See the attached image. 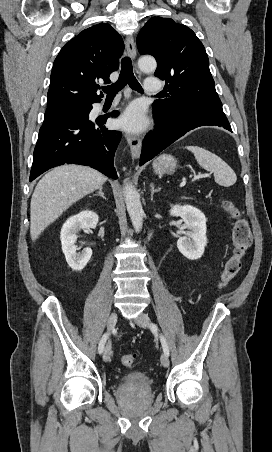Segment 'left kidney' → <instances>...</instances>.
I'll use <instances>...</instances> for the list:
<instances>
[{"instance_id":"1","label":"left kidney","mask_w":272,"mask_h":452,"mask_svg":"<svg viewBox=\"0 0 272 452\" xmlns=\"http://www.w3.org/2000/svg\"><path fill=\"white\" fill-rule=\"evenodd\" d=\"M170 215L181 217L188 228L185 236L177 241L179 251L189 260L200 259L207 245L206 217L196 207L191 205H174L170 209Z\"/></svg>"}]
</instances>
